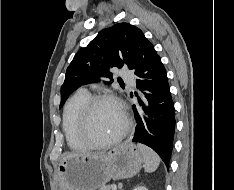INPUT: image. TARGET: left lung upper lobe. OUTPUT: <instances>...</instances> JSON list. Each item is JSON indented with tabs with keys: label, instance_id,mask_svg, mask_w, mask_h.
Masks as SVG:
<instances>
[{
	"label": "left lung upper lobe",
	"instance_id": "1",
	"mask_svg": "<svg viewBox=\"0 0 234 190\" xmlns=\"http://www.w3.org/2000/svg\"><path fill=\"white\" fill-rule=\"evenodd\" d=\"M145 39L143 32L129 23H118L99 32L87 47L78 51L68 66L61 87L60 107L82 85L97 82L101 77L112 82L111 67L131 69Z\"/></svg>",
	"mask_w": 234,
	"mask_h": 190
}]
</instances>
